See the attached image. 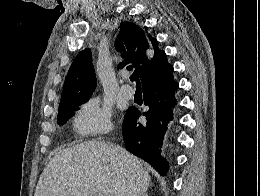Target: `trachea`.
I'll use <instances>...</instances> for the list:
<instances>
[{"instance_id": "1", "label": "trachea", "mask_w": 260, "mask_h": 196, "mask_svg": "<svg viewBox=\"0 0 260 196\" xmlns=\"http://www.w3.org/2000/svg\"><path fill=\"white\" fill-rule=\"evenodd\" d=\"M130 81H135L136 82V86H141V83L139 81L138 75L136 73V71H134L132 73V75L130 76Z\"/></svg>"}]
</instances>
